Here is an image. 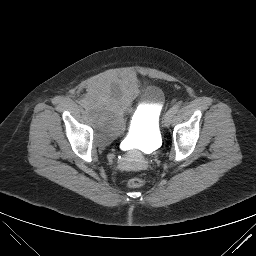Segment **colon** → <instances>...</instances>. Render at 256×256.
<instances>
[{"label": "colon", "instance_id": "obj_1", "mask_svg": "<svg viewBox=\"0 0 256 256\" xmlns=\"http://www.w3.org/2000/svg\"><path fill=\"white\" fill-rule=\"evenodd\" d=\"M127 184L129 188L136 189L144 186L145 180L140 177H135L130 179Z\"/></svg>", "mask_w": 256, "mask_h": 256}]
</instances>
